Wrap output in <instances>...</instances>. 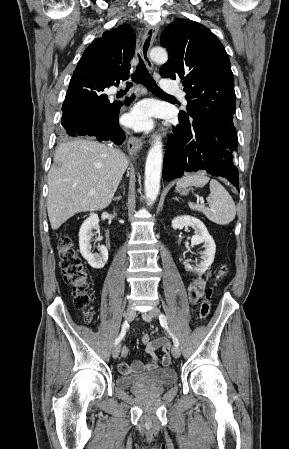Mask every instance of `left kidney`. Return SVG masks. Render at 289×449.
<instances>
[{
    "label": "left kidney",
    "mask_w": 289,
    "mask_h": 449,
    "mask_svg": "<svg viewBox=\"0 0 289 449\" xmlns=\"http://www.w3.org/2000/svg\"><path fill=\"white\" fill-rule=\"evenodd\" d=\"M189 226L195 230V235L192 236L191 244L192 246L204 243L205 251L201 253V262L195 267L191 266L189 263H185V269L187 271L202 274L204 273L213 263L214 256L216 252V245L213 238L210 236L204 223L192 216L184 215L176 217L172 220L173 229H183Z\"/></svg>",
    "instance_id": "left-kidney-1"
}]
</instances>
